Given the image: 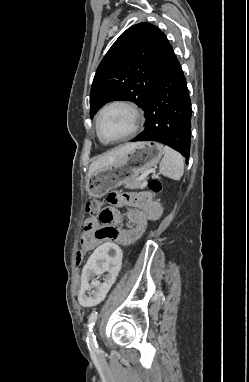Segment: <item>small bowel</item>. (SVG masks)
<instances>
[{
	"mask_svg": "<svg viewBox=\"0 0 249 382\" xmlns=\"http://www.w3.org/2000/svg\"><path fill=\"white\" fill-rule=\"evenodd\" d=\"M107 201L110 207L84 221V231L80 236L83 252L95 250V246L105 240L117 241L118 245L130 244L143 235L148 221L160 214L159 203L147 193L130 195L115 191L107 196ZM121 207H129L125 215L119 212ZM124 217L128 228L122 229L120 224Z\"/></svg>",
	"mask_w": 249,
	"mask_h": 382,
	"instance_id": "c3829d8e",
	"label": "small bowel"
}]
</instances>
